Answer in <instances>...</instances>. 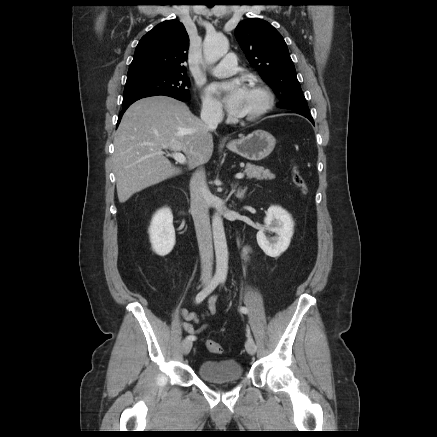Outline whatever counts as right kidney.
<instances>
[{
    "mask_svg": "<svg viewBox=\"0 0 437 437\" xmlns=\"http://www.w3.org/2000/svg\"><path fill=\"white\" fill-rule=\"evenodd\" d=\"M153 251L159 256L168 255L175 245L173 215L169 208L158 210L152 217L149 227Z\"/></svg>",
    "mask_w": 437,
    "mask_h": 437,
    "instance_id": "ca27d5eb",
    "label": "right kidney"
}]
</instances>
